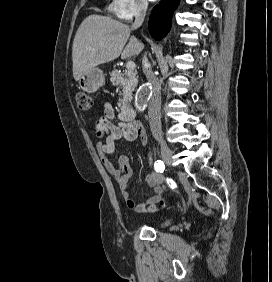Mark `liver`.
<instances>
[{"label": "liver", "mask_w": 272, "mask_h": 282, "mask_svg": "<svg viewBox=\"0 0 272 282\" xmlns=\"http://www.w3.org/2000/svg\"><path fill=\"white\" fill-rule=\"evenodd\" d=\"M130 33L128 25L111 17L97 14L86 17L73 41L74 79L78 81L92 68L112 61L120 55L122 59L138 55L143 49V44L134 36L129 39Z\"/></svg>", "instance_id": "6515ba94"}]
</instances>
